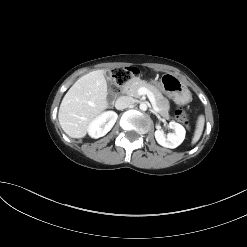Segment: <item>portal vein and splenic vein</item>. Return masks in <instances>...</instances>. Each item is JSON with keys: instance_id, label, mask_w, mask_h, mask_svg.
Segmentation results:
<instances>
[{"instance_id": "obj_1", "label": "portal vein and splenic vein", "mask_w": 247, "mask_h": 247, "mask_svg": "<svg viewBox=\"0 0 247 247\" xmlns=\"http://www.w3.org/2000/svg\"><path fill=\"white\" fill-rule=\"evenodd\" d=\"M138 93H139L140 96H141V95H147V97H148V99L150 100V102H151V104H152L154 110H155V111H158V108H157L156 102H155L154 94H153L150 90H148V89L145 88V87H141V88L138 90Z\"/></svg>"}]
</instances>
